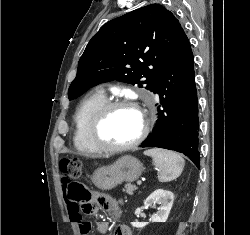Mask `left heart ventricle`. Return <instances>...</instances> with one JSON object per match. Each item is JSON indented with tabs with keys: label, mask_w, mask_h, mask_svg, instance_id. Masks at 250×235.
<instances>
[{
	"label": "left heart ventricle",
	"mask_w": 250,
	"mask_h": 235,
	"mask_svg": "<svg viewBox=\"0 0 250 235\" xmlns=\"http://www.w3.org/2000/svg\"><path fill=\"white\" fill-rule=\"evenodd\" d=\"M142 115L139 111L122 107L113 110L102 126V138L114 145L133 141L142 128Z\"/></svg>",
	"instance_id": "b2bd125f"
}]
</instances>
